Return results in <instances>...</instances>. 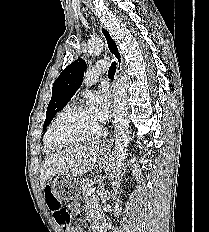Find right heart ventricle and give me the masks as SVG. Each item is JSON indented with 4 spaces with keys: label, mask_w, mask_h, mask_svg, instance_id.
Returning <instances> with one entry per match:
<instances>
[{
    "label": "right heart ventricle",
    "mask_w": 209,
    "mask_h": 232,
    "mask_svg": "<svg viewBox=\"0 0 209 232\" xmlns=\"http://www.w3.org/2000/svg\"><path fill=\"white\" fill-rule=\"evenodd\" d=\"M66 108H68V107H66ZM66 108H64L63 110H65ZM63 110H62V111H63ZM62 111H60V112L57 114V116H58ZM57 116H56V117H57ZM56 117H55V118H56ZM44 148H45V150L48 151V152L54 151V150L56 149V148H54V147H52V146L49 145V143L47 142L46 138H45V142H44Z\"/></svg>",
    "instance_id": "1"
}]
</instances>
